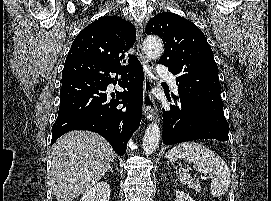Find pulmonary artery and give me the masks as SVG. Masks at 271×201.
<instances>
[{"label":"pulmonary artery","instance_id":"e3ab8cb5","mask_svg":"<svg viewBox=\"0 0 271 201\" xmlns=\"http://www.w3.org/2000/svg\"><path fill=\"white\" fill-rule=\"evenodd\" d=\"M157 73L162 76L165 77L169 83L171 84V86L173 87V89H177V84H176V78L175 76L168 70L167 67L163 66V65H159L157 67Z\"/></svg>","mask_w":271,"mask_h":201}]
</instances>
